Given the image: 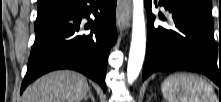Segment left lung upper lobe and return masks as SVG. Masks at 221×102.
Segmentation results:
<instances>
[{"mask_svg":"<svg viewBox=\"0 0 221 102\" xmlns=\"http://www.w3.org/2000/svg\"><path fill=\"white\" fill-rule=\"evenodd\" d=\"M191 4L197 6L201 11L211 16L212 3L211 0H187Z\"/></svg>","mask_w":221,"mask_h":102,"instance_id":"1","label":"left lung upper lobe"}]
</instances>
